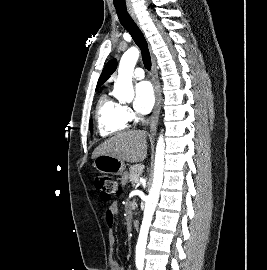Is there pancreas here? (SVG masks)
<instances>
[{
	"label": "pancreas",
	"instance_id": "pancreas-1",
	"mask_svg": "<svg viewBox=\"0 0 267 270\" xmlns=\"http://www.w3.org/2000/svg\"><path fill=\"white\" fill-rule=\"evenodd\" d=\"M143 169L142 164H135L130 167L129 180L132 184L136 183V179L142 174Z\"/></svg>",
	"mask_w": 267,
	"mask_h": 270
}]
</instances>
